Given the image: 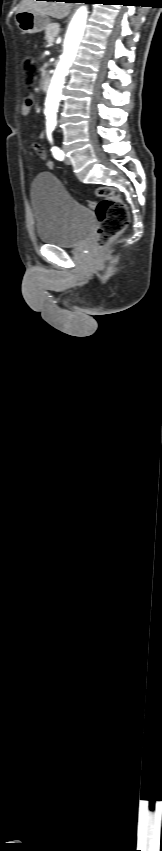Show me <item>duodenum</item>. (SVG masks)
<instances>
[{
    "instance_id": "410a0bca",
    "label": "duodenum",
    "mask_w": 162,
    "mask_h": 851,
    "mask_svg": "<svg viewBox=\"0 0 162 851\" xmlns=\"http://www.w3.org/2000/svg\"><path fill=\"white\" fill-rule=\"evenodd\" d=\"M50 85V77L45 75L41 80V88L43 91H47Z\"/></svg>"
}]
</instances>
